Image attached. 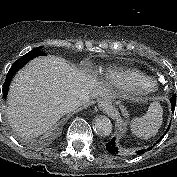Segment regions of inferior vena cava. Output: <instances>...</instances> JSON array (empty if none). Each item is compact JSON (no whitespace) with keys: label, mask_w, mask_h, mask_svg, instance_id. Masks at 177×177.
I'll return each mask as SVG.
<instances>
[{"label":"inferior vena cava","mask_w":177,"mask_h":177,"mask_svg":"<svg viewBox=\"0 0 177 177\" xmlns=\"http://www.w3.org/2000/svg\"><path fill=\"white\" fill-rule=\"evenodd\" d=\"M81 104L82 101L80 99L69 97L62 101V103L60 104V109L63 113H69L76 110Z\"/></svg>","instance_id":"inferior-vena-cava-1"}]
</instances>
